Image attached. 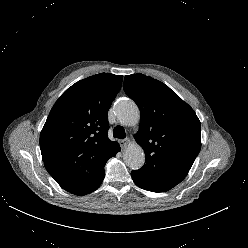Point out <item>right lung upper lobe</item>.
<instances>
[{"label": "right lung upper lobe", "mask_w": 248, "mask_h": 248, "mask_svg": "<svg viewBox=\"0 0 248 248\" xmlns=\"http://www.w3.org/2000/svg\"><path fill=\"white\" fill-rule=\"evenodd\" d=\"M122 80L120 75L100 73L78 81L56 101L41 131L45 168L72 194L96 190L105 177V163L120 151L107 136V113Z\"/></svg>", "instance_id": "obj_1"}]
</instances>
